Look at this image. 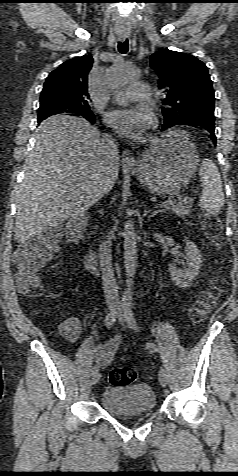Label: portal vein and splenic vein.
Masks as SVG:
<instances>
[{
	"instance_id": "18ae733b",
	"label": "portal vein and splenic vein",
	"mask_w": 238,
	"mask_h": 476,
	"mask_svg": "<svg viewBox=\"0 0 238 476\" xmlns=\"http://www.w3.org/2000/svg\"><path fill=\"white\" fill-rule=\"evenodd\" d=\"M172 203H173L172 200H165V201L161 202L159 205L160 206H167V205L172 204Z\"/></svg>"
}]
</instances>
